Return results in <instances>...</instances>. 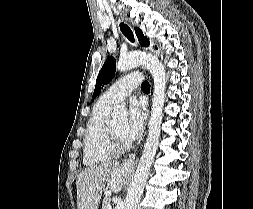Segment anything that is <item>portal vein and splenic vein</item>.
I'll use <instances>...</instances> for the list:
<instances>
[{"label": "portal vein and splenic vein", "instance_id": "obj_1", "mask_svg": "<svg viewBox=\"0 0 253 209\" xmlns=\"http://www.w3.org/2000/svg\"><path fill=\"white\" fill-rule=\"evenodd\" d=\"M108 209H112V206L110 204L108 205Z\"/></svg>", "mask_w": 253, "mask_h": 209}]
</instances>
